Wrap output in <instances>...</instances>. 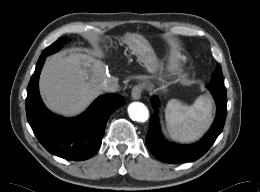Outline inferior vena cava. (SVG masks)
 I'll return each instance as SVG.
<instances>
[{
    "instance_id": "1",
    "label": "inferior vena cava",
    "mask_w": 260,
    "mask_h": 192,
    "mask_svg": "<svg viewBox=\"0 0 260 192\" xmlns=\"http://www.w3.org/2000/svg\"><path fill=\"white\" fill-rule=\"evenodd\" d=\"M100 88L107 92H116L119 90L120 85L118 82V78L110 77L106 78L100 85Z\"/></svg>"
}]
</instances>
